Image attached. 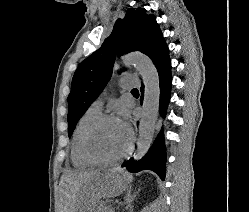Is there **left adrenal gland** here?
<instances>
[{"label":"left adrenal gland","mask_w":249,"mask_h":212,"mask_svg":"<svg viewBox=\"0 0 249 212\" xmlns=\"http://www.w3.org/2000/svg\"><path fill=\"white\" fill-rule=\"evenodd\" d=\"M140 190H138V192H135V194H128V202H127V206H126V210H130V208H132V202L136 196V194H139Z\"/></svg>","instance_id":"a2214340"}]
</instances>
